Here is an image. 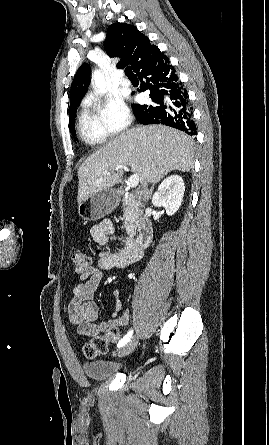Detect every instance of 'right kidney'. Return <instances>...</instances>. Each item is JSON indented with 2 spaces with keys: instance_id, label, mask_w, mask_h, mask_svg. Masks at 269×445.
Masks as SVG:
<instances>
[{
  "instance_id": "right-kidney-1",
  "label": "right kidney",
  "mask_w": 269,
  "mask_h": 445,
  "mask_svg": "<svg viewBox=\"0 0 269 445\" xmlns=\"http://www.w3.org/2000/svg\"><path fill=\"white\" fill-rule=\"evenodd\" d=\"M185 192L184 181L179 175L167 177L159 185L152 198L156 207H164L168 216L174 215L181 206Z\"/></svg>"
}]
</instances>
